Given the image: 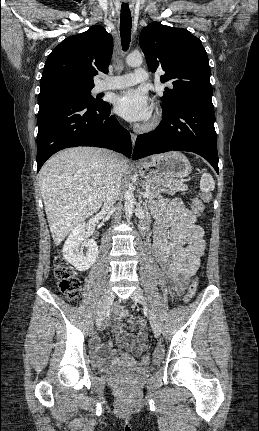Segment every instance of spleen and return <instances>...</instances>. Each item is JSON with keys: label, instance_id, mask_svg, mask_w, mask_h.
Listing matches in <instances>:
<instances>
[{"label": "spleen", "instance_id": "obj_1", "mask_svg": "<svg viewBox=\"0 0 259 431\" xmlns=\"http://www.w3.org/2000/svg\"><path fill=\"white\" fill-rule=\"evenodd\" d=\"M215 188V182L213 177L206 171L201 175L200 190L202 192L208 193L213 191Z\"/></svg>", "mask_w": 259, "mask_h": 431}]
</instances>
